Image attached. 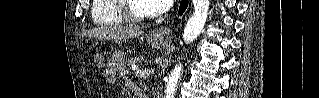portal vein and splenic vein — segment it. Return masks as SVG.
<instances>
[{
	"mask_svg": "<svg viewBox=\"0 0 319 98\" xmlns=\"http://www.w3.org/2000/svg\"><path fill=\"white\" fill-rule=\"evenodd\" d=\"M154 70H136V75L140 78H146L150 76L151 73H153Z\"/></svg>",
	"mask_w": 319,
	"mask_h": 98,
	"instance_id": "18ae733b",
	"label": "portal vein and splenic vein"
}]
</instances>
